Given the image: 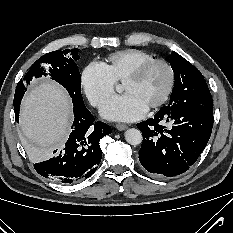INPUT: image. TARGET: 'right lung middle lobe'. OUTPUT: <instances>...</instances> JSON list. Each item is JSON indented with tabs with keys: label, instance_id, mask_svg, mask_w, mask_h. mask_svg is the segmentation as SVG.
Returning a JSON list of instances; mask_svg holds the SVG:
<instances>
[{
	"label": "right lung middle lobe",
	"instance_id": "1",
	"mask_svg": "<svg viewBox=\"0 0 233 233\" xmlns=\"http://www.w3.org/2000/svg\"><path fill=\"white\" fill-rule=\"evenodd\" d=\"M78 51V49L56 50L40 57L19 81L14 99L23 97L26 86L32 78L48 75L66 88L73 103L84 104L81 95V76L75 63L79 59Z\"/></svg>",
	"mask_w": 233,
	"mask_h": 233
}]
</instances>
